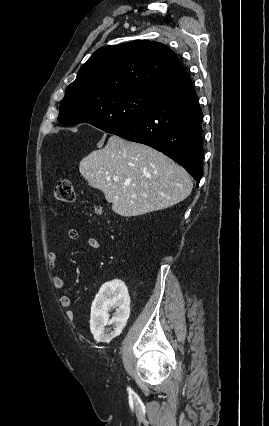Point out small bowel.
Here are the masks:
<instances>
[{
    "instance_id": "obj_1",
    "label": "small bowel",
    "mask_w": 269,
    "mask_h": 426,
    "mask_svg": "<svg viewBox=\"0 0 269 426\" xmlns=\"http://www.w3.org/2000/svg\"><path fill=\"white\" fill-rule=\"evenodd\" d=\"M68 239L70 242L74 243L77 242L79 239V233L76 229H69L68 230ZM88 246L93 250H98L101 248V244L98 239L96 238H89L87 240ZM57 254L54 252H51L48 254V264L50 270L53 272V283L57 289H64L65 283L60 274L56 272V263H57ZM72 300L71 297L68 295H62L60 297V304L64 308H69L71 306Z\"/></svg>"
}]
</instances>
